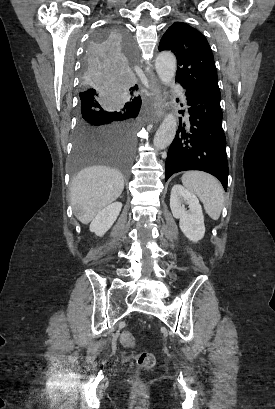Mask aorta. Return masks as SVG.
I'll return each instance as SVG.
<instances>
[{"label": "aorta", "instance_id": "aorta-1", "mask_svg": "<svg viewBox=\"0 0 275 409\" xmlns=\"http://www.w3.org/2000/svg\"><path fill=\"white\" fill-rule=\"evenodd\" d=\"M156 72L163 84H170L176 72V56L172 52H159L155 60ZM177 130L176 116L166 114L154 138L155 148H167L171 144Z\"/></svg>", "mask_w": 275, "mask_h": 409}]
</instances>
